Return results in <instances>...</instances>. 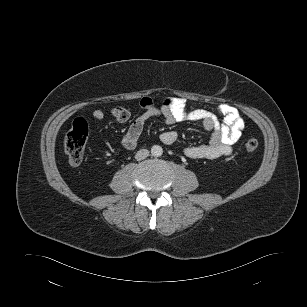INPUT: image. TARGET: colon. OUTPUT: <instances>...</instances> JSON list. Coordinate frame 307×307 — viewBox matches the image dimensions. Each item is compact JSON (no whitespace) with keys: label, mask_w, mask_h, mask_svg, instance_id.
<instances>
[{"label":"colon","mask_w":307,"mask_h":307,"mask_svg":"<svg viewBox=\"0 0 307 307\" xmlns=\"http://www.w3.org/2000/svg\"><path fill=\"white\" fill-rule=\"evenodd\" d=\"M87 137V122L84 119H76L64 139V149L71 164L78 165L82 162L87 143ZM257 148L258 141L255 138H249L246 140V151L254 152Z\"/></svg>","instance_id":"1"}]
</instances>
